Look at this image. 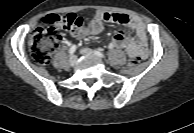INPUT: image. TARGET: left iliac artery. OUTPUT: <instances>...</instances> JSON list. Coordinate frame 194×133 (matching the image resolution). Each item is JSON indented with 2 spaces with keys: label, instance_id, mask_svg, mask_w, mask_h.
I'll list each match as a JSON object with an SVG mask.
<instances>
[{
  "label": "left iliac artery",
  "instance_id": "left-iliac-artery-1",
  "mask_svg": "<svg viewBox=\"0 0 194 133\" xmlns=\"http://www.w3.org/2000/svg\"><path fill=\"white\" fill-rule=\"evenodd\" d=\"M94 52H95V54H96L98 57L105 58V55H104L101 51L95 50Z\"/></svg>",
  "mask_w": 194,
  "mask_h": 133
}]
</instances>
